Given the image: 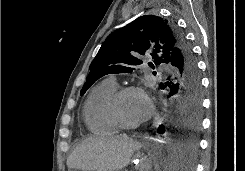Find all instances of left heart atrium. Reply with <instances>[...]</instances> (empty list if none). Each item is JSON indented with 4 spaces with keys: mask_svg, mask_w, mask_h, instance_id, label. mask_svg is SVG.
I'll use <instances>...</instances> for the list:
<instances>
[{
    "mask_svg": "<svg viewBox=\"0 0 245 171\" xmlns=\"http://www.w3.org/2000/svg\"><path fill=\"white\" fill-rule=\"evenodd\" d=\"M153 112V104L150 100L145 99V103L143 105L142 113H141V120L144 121L148 119Z\"/></svg>",
    "mask_w": 245,
    "mask_h": 171,
    "instance_id": "39dd6f15",
    "label": "left heart atrium"
}]
</instances>
